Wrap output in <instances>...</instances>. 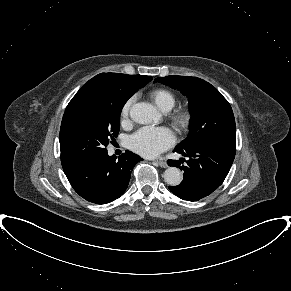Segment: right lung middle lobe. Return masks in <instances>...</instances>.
Here are the masks:
<instances>
[{"mask_svg": "<svg viewBox=\"0 0 291 291\" xmlns=\"http://www.w3.org/2000/svg\"><path fill=\"white\" fill-rule=\"evenodd\" d=\"M128 98L101 87L70 101L59 136L64 172L107 152L110 140L119 133L121 110Z\"/></svg>", "mask_w": 291, "mask_h": 291, "instance_id": "right-lung-middle-lobe-1", "label": "right lung middle lobe"}]
</instances>
